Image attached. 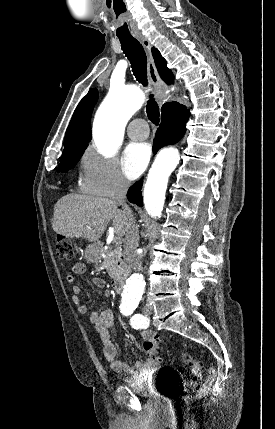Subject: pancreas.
I'll return each instance as SVG.
<instances>
[{
    "label": "pancreas",
    "instance_id": "obj_1",
    "mask_svg": "<svg viewBox=\"0 0 275 429\" xmlns=\"http://www.w3.org/2000/svg\"><path fill=\"white\" fill-rule=\"evenodd\" d=\"M121 254V250L115 246V249L110 248L103 258L102 266L108 271L109 276L113 279L119 277L123 273V269L118 266Z\"/></svg>",
    "mask_w": 275,
    "mask_h": 429
}]
</instances>
